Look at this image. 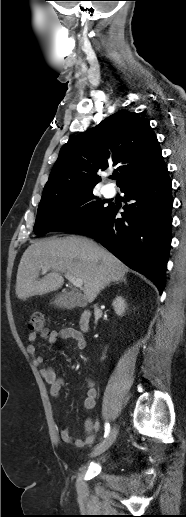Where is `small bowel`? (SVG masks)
Instances as JSON below:
<instances>
[{
	"label": "small bowel",
	"instance_id": "small-bowel-1",
	"mask_svg": "<svg viewBox=\"0 0 186 517\" xmlns=\"http://www.w3.org/2000/svg\"><path fill=\"white\" fill-rule=\"evenodd\" d=\"M68 339L72 340L78 349H83L85 347V340L82 334L75 328L63 327L57 330H52L48 334V343L50 345L55 344L58 340ZM28 340L30 344L26 347L27 353L34 359L36 365H42L44 359L36 355V349L34 346V342L36 340L35 335L30 333L28 335ZM41 375L49 386L51 396L57 398L65 385L64 380L58 377L55 370L49 366L41 369ZM85 384L87 387V392L84 399V407L91 410L96 405L97 390L95 388L94 382L91 379H86ZM99 428V421L93 417H88L85 421L86 434L84 438L74 439L67 426H63L61 428L60 437L64 442L81 448L86 445H90L95 441Z\"/></svg>",
	"mask_w": 186,
	"mask_h": 517
}]
</instances>
